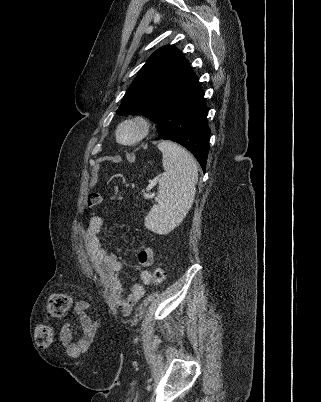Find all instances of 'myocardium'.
Instances as JSON below:
<instances>
[{"instance_id":"obj_1","label":"myocardium","mask_w":321,"mask_h":402,"mask_svg":"<svg viewBox=\"0 0 321 402\" xmlns=\"http://www.w3.org/2000/svg\"><path fill=\"white\" fill-rule=\"evenodd\" d=\"M134 127L137 130L135 137L129 141H123L121 139V131L125 127ZM151 130V122L148 118L135 115L129 118L124 119L119 123L116 129V140L119 144L124 146H134L140 143L147 135L150 133Z\"/></svg>"}]
</instances>
